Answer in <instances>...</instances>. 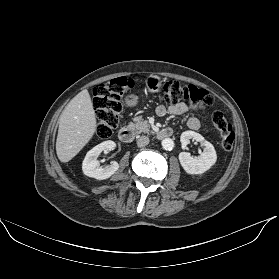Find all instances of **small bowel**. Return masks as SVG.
<instances>
[{"mask_svg":"<svg viewBox=\"0 0 279 279\" xmlns=\"http://www.w3.org/2000/svg\"><path fill=\"white\" fill-rule=\"evenodd\" d=\"M197 109L198 107L195 104L181 102L169 107L160 105L157 107L156 112L159 116L163 117L166 115H182L189 111H196ZM187 125L190 129L193 130H199L201 128V123L195 116H190L188 118Z\"/></svg>","mask_w":279,"mask_h":279,"instance_id":"1","label":"small bowel"}]
</instances>
